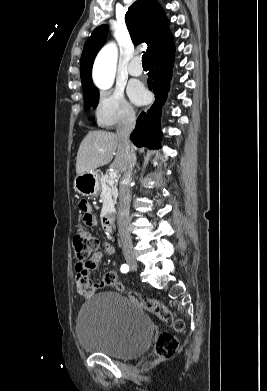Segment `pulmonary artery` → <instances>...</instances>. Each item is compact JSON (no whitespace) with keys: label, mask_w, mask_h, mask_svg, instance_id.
<instances>
[{"label":"pulmonary artery","mask_w":267,"mask_h":391,"mask_svg":"<svg viewBox=\"0 0 267 391\" xmlns=\"http://www.w3.org/2000/svg\"><path fill=\"white\" fill-rule=\"evenodd\" d=\"M141 58L136 56L134 57L129 66H128V71L130 75L132 76H140L143 72L142 66H141Z\"/></svg>","instance_id":"e3ab8cb5"}]
</instances>
